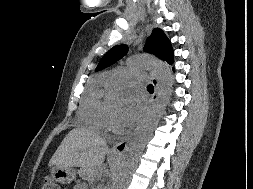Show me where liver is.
Masks as SVG:
<instances>
[{
    "instance_id": "obj_1",
    "label": "liver",
    "mask_w": 253,
    "mask_h": 189,
    "mask_svg": "<svg viewBox=\"0 0 253 189\" xmlns=\"http://www.w3.org/2000/svg\"><path fill=\"white\" fill-rule=\"evenodd\" d=\"M108 153L102 138L85 128L72 129L52 156L49 166L80 167L90 182L101 175V167Z\"/></svg>"
}]
</instances>
